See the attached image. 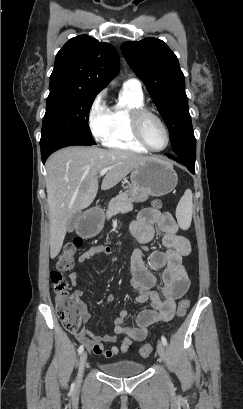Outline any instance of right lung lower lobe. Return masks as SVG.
Masks as SVG:
<instances>
[{
	"instance_id": "1",
	"label": "right lung lower lobe",
	"mask_w": 243,
	"mask_h": 409,
	"mask_svg": "<svg viewBox=\"0 0 243 409\" xmlns=\"http://www.w3.org/2000/svg\"><path fill=\"white\" fill-rule=\"evenodd\" d=\"M94 144L96 143L93 140L84 139L71 134L51 135L49 138L40 141L42 162L44 164L48 156L60 148L72 145L90 146Z\"/></svg>"
}]
</instances>
